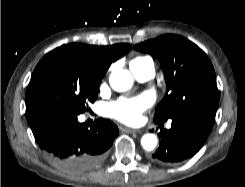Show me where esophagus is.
I'll return each mask as SVG.
<instances>
[{"instance_id": "1", "label": "esophagus", "mask_w": 245, "mask_h": 187, "mask_svg": "<svg viewBox=\"0 0 245 187\" xmlns=\"http://www.w3.org/2000/svg\"><path fill=\"white\" fill-rule=\"evenodd\" d=\"M122 131L128 132V133H139V132H141V130H139V129H130V128H126V127H123Z\"/></svg>"}]
</instances>
